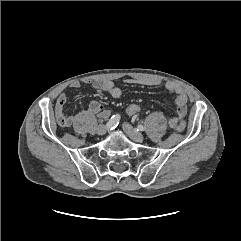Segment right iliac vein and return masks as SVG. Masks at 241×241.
<instances>
[{
	"label": "right iliac vein",
	"mask_w": 241,
	"mask_h": 241,
	"mask_svg": "<svg viewBox=\"0 0 241 241\" xmlns=\"http://www.w3.org/2000/svg\"><path fill=\"white\" fill-rule=\"evenodd\" d=\"M108 127L104 124H100L97 129L96 132L98 135H104L107 131Z\"/></svg>",
	"instance_id": "63e3f726"
}]
</instances>
